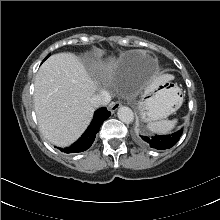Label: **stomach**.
Listing matches in <instances>:
<instances>
[{
  "label": "stomach",
  "instance_id": "1",
  "mask_svg": "<svg viewBox=\"0 0 220 220\" xmlns=\"http://www.w3.org/2000/svg\"><path fill=\"white\" fill-rule=\"evenodd\" d=\"M149 98L139 104L141 116L146 121H156L167 118L177 111L183 98L180 89L171 82L160 83L153 91L147 93Z\"/></svg>",
  "mask_w": 220,
  "mask_h": 220
}]
</instances>
